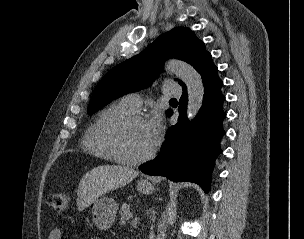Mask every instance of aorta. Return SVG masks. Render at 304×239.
<instances>
[{
	"label": "aorta",
	"instance_id": "obj_1",
	"mask_svg": "<svg viewBox=\"0 0 304 239\" xmlns=\"http://www.w3.org/2000/svg\"><path fill=\"white\" fill-rule=\"evenodd\" d=\"M165 68L186 84L188 92L187 114L189 120L193 119L201 108L204 98V85L200 74L191 65L178 60L167 61ZM166 223L167 218L164 216L158 224L156 239H165Z\"/></svg>",
	"mask_w": 304,
	"mask_h": 239
}]
</instances>
